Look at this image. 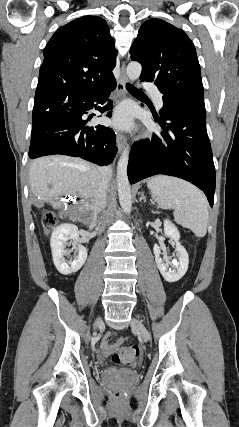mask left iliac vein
I'll list each match as a JSON object with an SVG mask.
<instances>
[{"mask_svg":"<svg viewBox=\"0 0 239 427\" xmlns=\"http://www.w3.org/2000/svg\"><path fill=\"white\" fill-rule=\"evenodd\" d=\"M131 326H132V328L139 331V333L141 334L142 338L145 341H149L151 339V336H150L148 329L146 328V326L144 325L143 321L140 319L139 316L134 317L132 319Z\"/></svg>","mask_w":239,"mask_h":427,"instance_id":"obj_1","label":"left iliac vein"}]
</instances>
